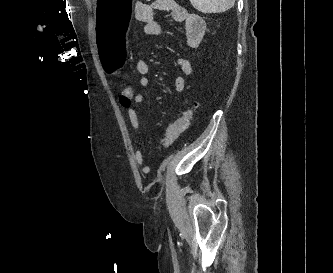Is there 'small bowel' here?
I'll return each mask as SVG.
<instances>
[{"mask_svg": "<svg viewBox=\"0 0 333 273\" xmlns=\"http://www.w3.org/2000/svg\"><path fill=\"white\" fill-rule=\"evenodd\" d=\"M161 12L168 13L175 22L184 26L186 43L189 47L198 48L201 45L205 32V22L199 15L190 12L174 0H155L150 4L144 2L137 4L135 16L142 24L144 34L159 37L167 36L162 25L156 20V15ZM171 64L175 68H179L187 76H193L195 73L191 62L184 58L174 57L171 60ZM136 71L140 75L139 86L144 90H150L152 88V83L148 77L150 67L148 62L141 56H138L136 61ZM185 87L184 77L181 74H176L174 78L175 91L178 94H182L185 91ZM132 99L133 104L130 109L125 110L133 132L137 134L140 131V120L134 105L142 103L143 95L140 93L133 94ZM133 155L136 163L142 170L148 172L149 167L144 162L142 151L136 147Z\"/></svg>", "mask_w": 333, "mask_h": 273, "instance_id": "obj_1", "label": "small bowel"}]
</instances>
